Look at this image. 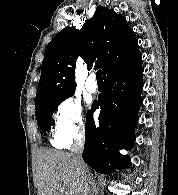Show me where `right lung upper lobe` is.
<instances>
[{"mask_svg":"<svg viewBox=\"0 0 178 195\" xmlns=\"http://www.w3.org/2000/svg\"><path fill=\"white\" fill-rule=\"evenodd\" d=\"M80 56L90 69L101 68L104 78L120 73L141 60L138 41L126 18L98 6L80 30L66 27L48 44L41 66L35 108L49 100L73 95L74 73Z\"/></svg>","mask_w":178,"mask_h":195,"instance_id":"right-lung-upper-lobe-1","label":"right lung upper lobe"}]
</instances>
